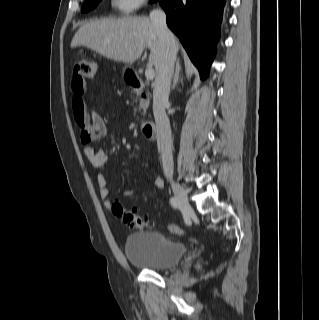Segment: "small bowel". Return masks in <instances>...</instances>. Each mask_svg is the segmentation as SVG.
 <instances>
[{"instance_id":"1","label":"small bowel","mask_w":319,"mask_h":320,"mask_svg":"<svg viewBox=\"0 0 319 320\" xmlns=\"http://www.w3.org/2000/svg\"><path fill=\"white\" fill-rule=\"evenodd\" d=\"M72 87L73 91L75 93L74 96V102H73V107H74V113H83L85 118L89 120V124L91 126L92 130V136L94 140L100 139L103 137L106 133L107 126L104 121V119L95 111L88 110L86 107L85 101L82 99V94L84 93L86 89V85L82 84L80 85L75 79L72 80ZM84 155L87 158L88 162L93 168H100L102 167L107 160V154L104 151L101 150H96L92 146H87L84 149ZM97 184L99 186V192L98 195L101 200L104 201V204L106 207H110L111 203L109 201V189L107 186V180L104 177V175L99 174L96 178ZM163 180L161 177H154L153 179V185L156 188H162L163 187ZM134 191L133 190H127L124 192V197L129 198L133 196Z\"/></svg>"}]
</instances>
